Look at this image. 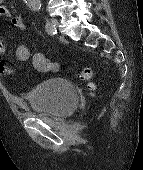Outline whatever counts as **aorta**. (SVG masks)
Segmentation results:
<instances>
[{"label":"aorta","mask_w":143,"mask_h":170,"mask_svg":"<svg viewBox=\"0 0 143 170\" xmlns=\"http://www.w3.org/2000/svg\"><path fill=\"white\" fill-rule=\"evenodd\" d=\"M27 6L34 11H38L41 8V0H25Z\"/></svg>","instance_id":"1"}]
</instances>
